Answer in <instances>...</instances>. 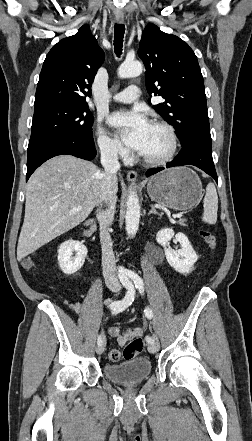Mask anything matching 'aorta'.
I'll return each instance as SVG.
<instances>
[{"label":"aorta","mask_w":252,"mask_h":441,"mask_svg":"<svg viewBox=\"0 0 252 441\" xmlns=\"http://www.w3.org/2000/svg\"><path fill=\"white\" fill-rule=\"evenodd\" d=\"M143 71V66L139 61H125L118 68L119 78H130L139 76ZM127 209L125 215L126 232L129 236H133L137 233L140 221V205L139 199L135 192L131 191L127 202ZM127 270L121 266L118 267L119 276L123 277L127 275Z\"/></svg>","instance_id":"762f6f07"}]
</instances>
